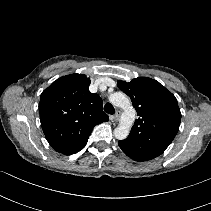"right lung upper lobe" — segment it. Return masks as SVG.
I'll return each instance as SVG.
<instances>
[{
  "label": "right lung upper lobe",
  "mask_w": 211,
  "mask_h": 211,
  "mask_svg": "<svg viewBox=\"0 0 211 211\" xmlns=\"http://www.w3.org/2000/svg\"><path fill=\"white\" fill-rule=\"evenodd\" d=\"M90 79L71 74L54 81L40 97L43 132L58 152L71 155L87 143L95 125L108 121L102 99L89 91Z\"/></svg>",
  "instance_id": "cb5924a9"
}]
</instances>
